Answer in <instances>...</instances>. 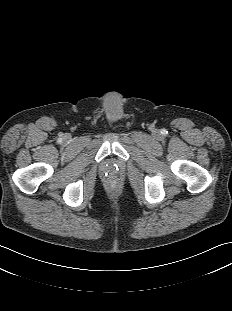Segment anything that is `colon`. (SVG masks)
Masks as SVG:
<instances>
[{
  "instance_id": "5ec220e1",
  "label": "colon",
  "mask_w": 232,
  "mask_h": 311,
  "mask_svg": "<svg viewBox=\"0 0 232 311\" xmlns=\"http://www.w3.org/2000/svg\"><path fill=\"white\" fill-rule=\"evenodd\" d=\"M112 185L115 186V183L113 182Z\"/></svg>"
}]
</instances>
